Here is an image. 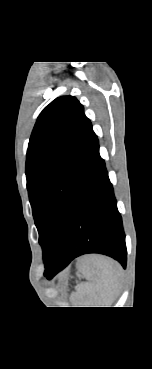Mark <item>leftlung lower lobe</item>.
I'll return each mask as SVG.
<instances>
[{
  "label": "left lung lower lobe",
  "instance_id": "left-lung-lower-lobe-1",
  "mask_svg": "<svg viewBox=\"0 0 152 369\" xmlns=\"http://www.w3.org/2000/svg\"><path fill=\"white\" fill-rule=\"evenodd\" d=\"M101 253L125 268L127 250L122 218L96 138L77 190L67 229L56 257L45 263L44 275L51 279L74 258Z\"/></svg>",
  "mask_w": 152,
  "mask_h": 369
}]
</instances>
